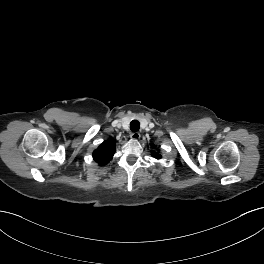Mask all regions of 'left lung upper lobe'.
<instances>
[{"mask_svg": "<svg viewBox=\"0 0 264 264\" xmlns=\"http://www.w3.org/2000/svg\"><path fill=\"white\" fill-rule=\"evenodd\" d=\"M153 156L155 157V158H160L161 156L159 155V154H157V153H153Z\"/></svg>", "mask_w": 264, "mask_h": 264, "instance_id": "1", "label": "left lung upper lobe"}]
</instances>
